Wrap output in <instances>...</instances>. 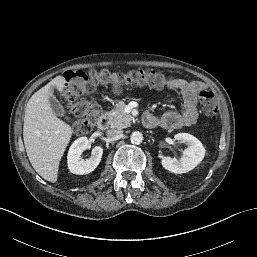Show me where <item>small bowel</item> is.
<instances>
[{
	"instance_id": "obj_1",
	"label": "small bowel",
	"mask_w": 257,
	"mask_h": 257,
	"mask_svg": "<svg viewBox=\"0 0 257 257\" xmlns=\"http://www.w3.org/2000/svg\"><path fill=\"white\" fill-rule=\"evenodd\" d=\"M167 87L179 91L183 106L181 112L166 111L160 116L146 113L144 123L148 127L160 126L166 129H177L183 126H190L197 120V97L204 84L198 81H187L185 79H174L167 84Z\"/></svg>"
}]
</instances>
